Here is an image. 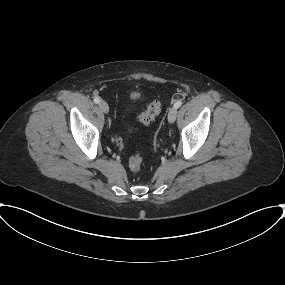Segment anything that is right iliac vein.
I'll list each match as a JSON object with an SVG mask.
<instances>
[{
    "label": "right iliac vein",
    "mask_w": 285,
    "mask_h": 285,
    "mask_svg": "<svg viewBox=\"0 0 285 285\" xmlns=\"http://www.w3.org/2000/svg\"><path fill=\"white\" fill-rule=\"evenodd\" d=\"M99 108L105 114H107L109 112V106L105 101L99 102Z\"/></svg>",
    "instance_id": "1"
}]
</instances>
